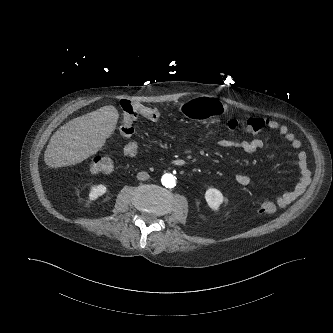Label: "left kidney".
Here are the masks:
<instances>
[{
	"mask_svg": "<svg viewBox=\"0 0 333 333\" xmlns=\"http://www.w3.org/2000/svg\"><path fill=\"white\" fill-rule=\"evenodd\" d=\"M205 199L208 206L217 211L219 206L223 203L224 197L222 193L216 188H209L205 193Z\"/></svg>",
	"mask_w": 333,
	"mask_h": 333,
	"instance_id": "5707ae66",
	"label": "left kidney"
}]
</instances>
